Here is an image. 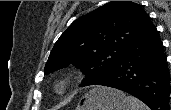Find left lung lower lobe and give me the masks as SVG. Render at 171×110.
<instances>
[{
    "mask_svg": "<svg viewBox=\"0 0 171 110\" xmlns=\"http://www.w3.org/2000/svg\"><path fill=\"white\" fill-rule=\"evenodd\" d=\"M95 85L125 91L151 110H170V72L162 42L151 20L115 68Z\"/></svg>",
    "mask_w": 171,
    "mask_h": 110,
    "instance_id": "1",
    "label": "left lung lower lobe"
}]
</instances>
